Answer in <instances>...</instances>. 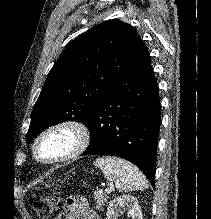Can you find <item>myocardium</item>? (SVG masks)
I'll use <instances>...</instances> for the list:
<instances>
[{"label": "myocardium", "instance_id": "obj_1", "mask_svg": "<svg viewBox=\"0 0 211 219\" xmlns=\"http://www.w3.org/2000/svg\"><path fill=\"white\" fill-rule=\"evenodd\" d=\"M69 133L72 142L70 148L60 156L51 159H44L39 155V146L42 141L52 134ZM91 132L89 127L80 120L64 119L48 125L35 137L31 145L33 160L43 166H54L70 162L84 153L90 145Z\"/></svg>", "mask_w": 211, "mask_h": 219}]
</instances>
